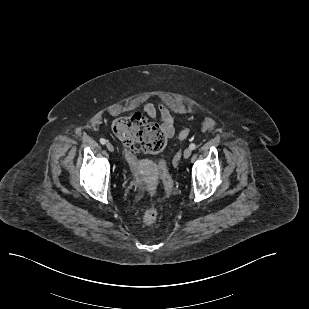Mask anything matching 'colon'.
Segmentation results:
<instances>
[{
  "label": "colon",
  "mask_w": 309,
  "mask_h": 309,
  "mask_svg": "<svg viewBox=\"0 0 309 309\" xmlns=\"http://www.w3.org/2000/svg\"><path fill=\"white\" fill-rule=\"evenodd\" d=\"M113 132L116 137L127 147L134 151L160 154L167 146V139L164 132L157 124L148 122L140 113L117 118L113 122ZM189 135L188 130H183L179 138L185 139ZM160 169L165 173L164 161L160 163ZM165 180L170 184L165 176ZM158 217V210L155 207L147 209L143 215L146 225H152Z\"/></svg>",
  "instance_id": "5ec220e1"
}]
</instances>
